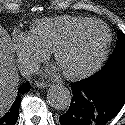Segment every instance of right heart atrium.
I'll use <instances>...</instances> for the list:
<instances>
[{"label":"right heart atrium","instance_id":"obj_1","mask_svg":"<svg viewBox=\"0 0 125 125\" xmlns=\"http://www.w3.org/2000/svg\"><path fill=\"white\" fill-rule=\"evenodd\" d=\"M12 47L25 73L35 71L48 56V53L37 45L30 32H15L12 37Z\"/></svg>","mask_w":125,"mask_h":125}]
</instances>
